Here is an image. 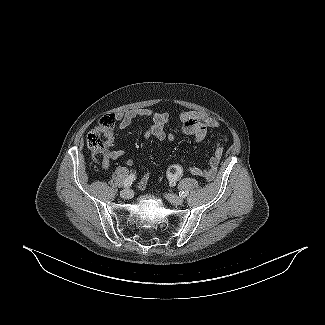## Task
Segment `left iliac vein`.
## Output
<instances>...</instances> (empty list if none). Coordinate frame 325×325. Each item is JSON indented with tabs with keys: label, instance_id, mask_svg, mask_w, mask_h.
<instances>
[{
	"label": "left iliac vein",
	"instance_id": "left-iliac-vein-1",
	"mask_svg": "<svg viewBox=\"0 0 325 325\" xmlns=\"http://www.w3.org/2000/svg\"><path fill=\"white\" fill-rule=\"evenodd\" d=\"M166 198L172 203L173 205H181L183 203V199L179 196L173 194H166Z\"/></svg>",
	"mask_w": 325,
	"mask_h": 325
}]
</instances>
